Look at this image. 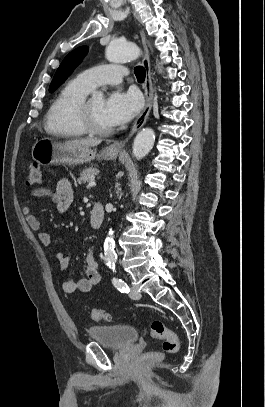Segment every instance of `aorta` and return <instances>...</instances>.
I'll use <instances>...</instances> for the list:
<instances>
[{
  "mask_svg": "<svg viewBox=\"0 0 265 407\" xmlns=\"http://www.w3.org/2000/svg\"><path fill=\"white\" fill-rule=\"evenodd\" d=\"M140 54L139 47L131 42H121L119 40H112L106 48V58L109 62L119 63L124 61H133L138 58ZM94 97L101 99L103 94L101 92L94 93ZM155 141V133L151 128L142 129L134 139L133 142V155L137 159L145 157L152 148ZM115 243L113 239V231L110 230L104 242V260L110 268H115L116 254Z\"/></svg>",
  "mask_w": 265,
  "mask_h": 407,
  "instance_id": "762f6f07",
  "label": "aorta"
}]
</instances>
